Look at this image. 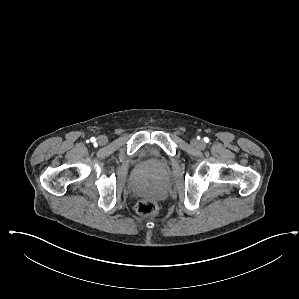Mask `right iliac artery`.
Returning a JSON list of instances; mask_svg holds the SVG:
<instances>
[{
  "label": "right iliac artery",
  "instance_id": "right-iliac-artery-1",
  "mask_svg": "<svg viewBox=\"0 0 299 299\" xmlns=\"http://www.w3.org/2000/svg\"><path fill=\"white\" fill-rule=\"evenodd\" d=\"M95 140H96V139H95L94 137H93V138H91V141H92V142H95Z\"/></svg>",
  "mask_w": 299,
  "mask_h": 299
}]
</instances>
